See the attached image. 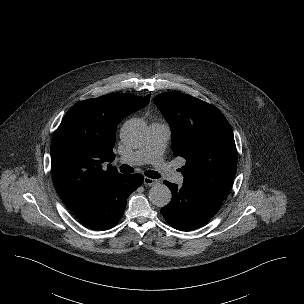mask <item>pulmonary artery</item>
<instances>
[{
	"instance_id": "pulmonary-artery-1",
	"label": "pulmonary artery",
	"mask_w": 304,
	"mask_h": 304,
	"mask_svg": "<svg viewBox=\"0 0 304 304\" xmlns=\"http://www.w3.org/2000/svg\"><path fill=\"white\" fill-rule=\"evenodd\" d=\"M170 134L171 130L167 124L161 122L152 123L150 125V135L146 143L140 149L122 157L120 161L132 165L150 163L154 165L167 180L182 184L184 180L183 174L171 169L163 159V153Z\"/></svg>"
}]
</instances>
